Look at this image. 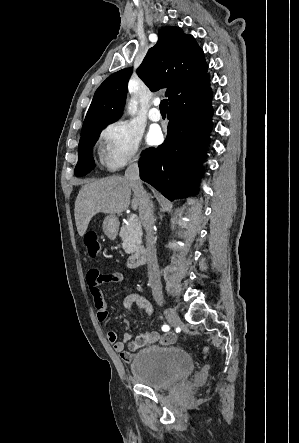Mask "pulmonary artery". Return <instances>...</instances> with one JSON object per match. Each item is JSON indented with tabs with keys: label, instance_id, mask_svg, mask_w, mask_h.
Instances as JSON below:
<instances>
[{
	"label": "pulmonary artery",
	"instance_id": "obj_1",
	"mask_svg": "<svg viewBox=\"0 0 299 443\" xmlns=\"http://www.w3.org/2000/svg\"><path fill=\"white\" fill-rule=\"evenodd\" d=\"M159 101H153V107L148 112V117L152 121H159L161 119L160 111L158 110Z\"/></svg>",
	"mask_w": 299,
	"mask_h": 443
}]
</instances>
